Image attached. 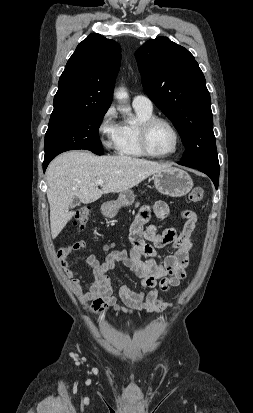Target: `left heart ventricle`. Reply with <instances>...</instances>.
<instances>
[{
  "label": "left heart ventricle",
  "mask_w": 253,
  "mask_h": 413,
  "mask_svg": "<svg viewBox=\"0 0 253 413\" xmlns=\"http://www.w3.org/2000/svg\"><path fill=\"white\" fill-rule=\"evenodd\" d=\"M149 143L155 153L170 152L175 144L172 130L164 123H156L150 130Z\"/></svg>",
  "instance_id": "left-heart-ventricle-1"
}]
</instances>
